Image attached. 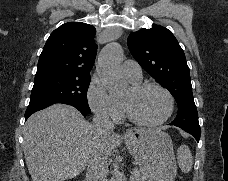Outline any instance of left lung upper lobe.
<instances>
[{
  "label": "left lung upper lobe",
  "instance_id": "obj_1",
  "mask_svg": "<svg viewBox=\"0 0 228 181\" xmlns=\"http://www.w3.org/2000/svg\"><path fill=\"white\" fill-rule=\"evenodd\" d=\"M127 43L134 59L175 98L178 114L170 125L183 130L200 128L189 67L172 32L163 26L154 25L151 29L131 33Z\"/></svg>",
  "mask_w": 228,
  "mask_h": 181
}]
</instances>
